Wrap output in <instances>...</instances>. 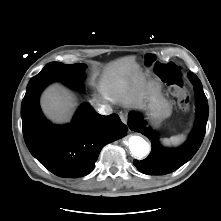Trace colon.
<instances>
[{
  "label": "colon",
  "instance_id": "1",
  "mask_svg": "<svg viewBox=\"0 0 221 221\" xmlns=\"http://www.w3.org/2000/svg\"><path fill=\"white\" fill-rule=\"evenodd\" d=\"M154 58L148 56L146 58V63L152 65ZM155 71L159 78L171 86L172 92L178 97L179 106L183 111L189 109L190 99L189 96L182 90V74L178 66L171 63H156Z\"/></svg>",
  "mask_w": 221,
  "mask_h": 221
}]
</instances>
